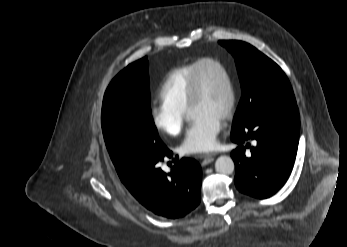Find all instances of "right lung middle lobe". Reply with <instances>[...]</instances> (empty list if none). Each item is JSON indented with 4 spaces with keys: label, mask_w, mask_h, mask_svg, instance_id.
<instances>
[{
    "label": "right lung middle lobe",
    "mask_w": 347,
    "mask_h": 247,
    "mask_svg": "<svg viewBox=\"0 0 347 247\" xmlns=\"http://www.w3.org/2000/svg\"><path fill=\"white\" fill-rule=\"evenodd\" d=\"M101 124L115 166L136 154L164 152L166 146L150 110L147 57L129 64L111 81L103 99Z\"/></svg>",
    "instance_id": "obj_1"
}]
</instances>
